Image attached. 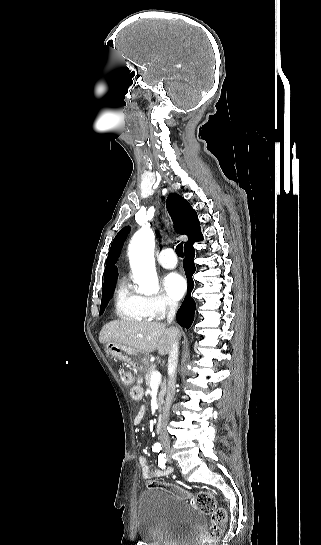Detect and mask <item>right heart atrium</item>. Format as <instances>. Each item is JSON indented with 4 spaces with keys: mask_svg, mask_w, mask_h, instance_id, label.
<instances>
[{
    "mask_svg": "<svg viewBox=\"0 0 321 545\" xmlns=\"http://www.w3.org/2000/svg\"><path fill=\"white\" fill-rule=\"evenodd\" d=\"M141 305L147 317L153 320H163L177 309V305L174 302L163 297L156 299L141 298Z\"/></svg>",
    "mask_w": 321,
    "mask_h": 545,
    "instance_id": "1",
    "label": "right heart atrium"
}]
</instances>
